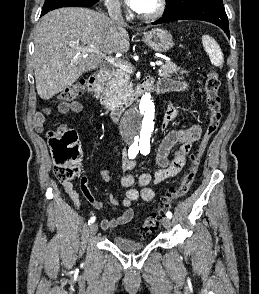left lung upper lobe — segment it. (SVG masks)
Instances as JSON below:
<instances>
[{"mask_svg": "<svg viewBox=\"0 0 259 294\" xmlns=\"http://www.w3.org/2000/svg\"><path fill=\"white\" fill-rule=\"evenodd\" d=\"M205 3L223 5L222 0H167V10L164 15H171Z\"/></svg>", "mask_w": 259, "mask_h": 294, "instance_id": "5c2ea615", "label": "left lung upper lobe"}]
</instances>
